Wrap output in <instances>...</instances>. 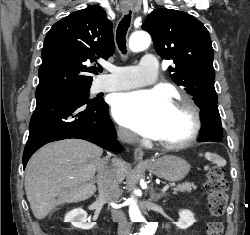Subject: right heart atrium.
Masks as SVG:
<instances>
[{"label": "right heart atrium", "mask_w": 250, "mask_h": 235, "mask_svg": "<svg viewBox=\"0 0 250 235\" xmlns=\"http://www.w3.org/2000/svg\"><path fill=\"white\" fill-rule=\"evenodd\" d=\"M117 133H118V137L126 142L132 141L133 140V135L131 132H129L128 130L120 127L117 129Z\"/></svg>", "instance_id": "1"}]
</instances>
